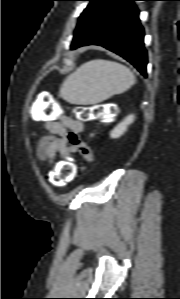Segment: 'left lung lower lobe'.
I'll return each instance as SVG.
<instances>
[{"label":"left lung lower lobe","instance_id":"0a47b994","mask_svg":"<svg viewBox=\"0 0 180 299\" xmlns=\"http://www.w3.org/2000/svg\"><path fill=\"white\" fill-rule=\"evenodd\" d=\"M138 0H96L77 26L71 49L100 45L117 53L146 74L144 30L134 5Z\"/></svg>","mask_w":180,"mask_h":299}]
</instances>
